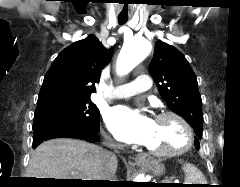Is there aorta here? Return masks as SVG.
I'll use <instances>...</instances> for the list:
<instances>
[{"mask_svg": "<svg viewBox=\"0 0 240 187\" xmlns=\"http://www.w3.org/2000/svg\"><path fill=\"white\" fill-rule=\"evenodd\" d=\"M151 51L150 42L142 37H135L123 46L117 59V73L125 75L136 67ZM135 182H146L144 175L135 178Z\"/></svg>", "mask_w": 240, "mask_h": 187, "instance_id": "aorta-1", "label": "aorta"}]
</instances>
